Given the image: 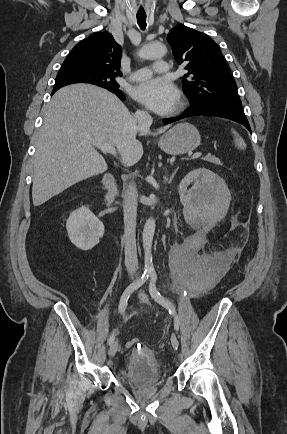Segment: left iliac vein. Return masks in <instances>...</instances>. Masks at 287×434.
I'll use <instances>...</instances> for the list:
<instances>
[{
  "instance_id": "left-iliac-vein-1",
  "label": "left iliac vein",
  "mask_w": 287,
  "mask_h": 434,
  "mask_svg": "<svg viewBox=\"0 0 287 434\" xmlns=\"http://www.w3.org/2000/svg\"><path fill=\"white\" fill-rule=\"evenodd\" d=\"M139 297H140V300H141L142 302H144V303H148V297H147V295H146L145 293H141ZM170 340H171V345H172V347H173L174 349H177L178 346H179V341H178V338H177L176 334L173 333V334L171 335Z\"/></svg>"
}]
</instances>
